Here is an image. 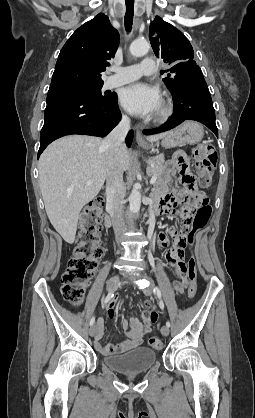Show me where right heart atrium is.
<instances>
[{
    "label": "right heart atrium",
    "instance_id": "obj_1",
    "mask_svg": "<svg viewBox=\"0 0 255 418\" xmlns=\"http://www.w3.org/2000/svg\"><path fill=\"white\" fill-rule=\"evenodd\" d=\"M123 119H124V120H127V116H126V115H123Z\"/></svg>",
    "mask_w": 255,
    "mask_h": 418
}]
</instances>
